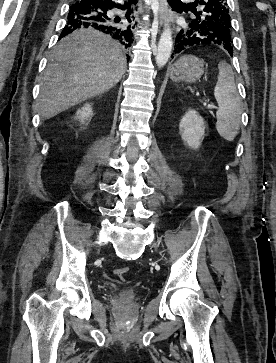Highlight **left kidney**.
<instances>
[{
  "instance_id": "1",
  "label": "left kidney",
  "mask_w": 276,
  "mask_h": 363,
  "mask_svg": "<svg viewBox=\"0 0 276 363\" xmlns=\"http://www.w3.org/2000/svg\"><path fill=\"white\" fill-rule=\"evenodd\" d=\"M179 130L182 140L193 149L199 148L205 135L202 117L193 109H189L182 117Z\"/></svg>"
}]
</instances>
